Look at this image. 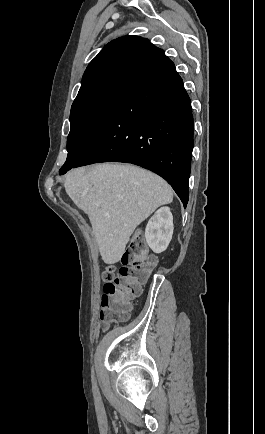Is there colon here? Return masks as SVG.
I'll return each instance as SVG.
<instances>
[{"label":"colon","mask_w":265,"mask_h":434,"mask_svg":"<svg viewBox=\"0 0 265 434\" xmlns=\"http://www.w3.org/2000/svg\"><path fill=\"white\" fill-rule=\"evenodd\" d=\"M144 249L142 239L133 238L125 249L118 269L107 267L103 272L105 294L102 296V308L106 310V318L100 320V334L106 333L105 327H117L119 322H126V299L138 297L142 286L147 283L156 260L153 255L145 254Z\"/></svg>","instance_id":"1"}]
</instances>
